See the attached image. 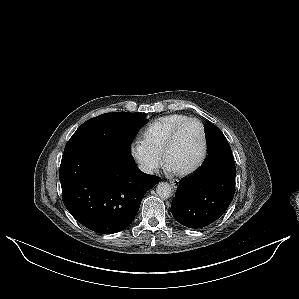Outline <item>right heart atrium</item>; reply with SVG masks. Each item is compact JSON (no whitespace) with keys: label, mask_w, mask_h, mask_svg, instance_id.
Instances as JSON below:
<instances>
[{"label":"right heart atrium","mask_w":299,"mask_h":299,"mask_svg":"<svg viewBox=\"0 0 299 299\" xmlns=\"http://www.w3.org/2000/svg\"><path fill=\"white\" fill-rule=\"evenodd\" d=\"M131 155L145 173H153L160 167V159L147 149L144 142H134L131 147Z\"/></svg>","instance_id":"obj_1"}]
</instances>
